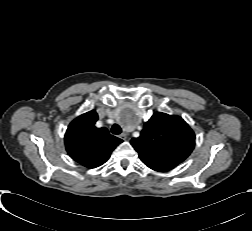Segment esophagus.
I'll return each mask as SVG.
<instances>
[{
    "mask_svg": "<svg viewBox=\"0 0 252 231\" xmlns=\"http://www.w3.org/2000/svg\"><path fill=\"white\" fill-rule=\"evenodd\" d=\"M120 138L123 139V140H126L127 139V135L125 133H122L120 135Z\"/></svg>",
    "mask_w": 252,
    "mask_h": 231,
    "instance_id": "34e87169",
    "label": "esophagus"
}]
</instances>
